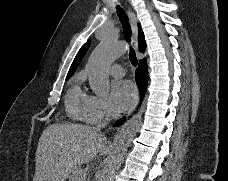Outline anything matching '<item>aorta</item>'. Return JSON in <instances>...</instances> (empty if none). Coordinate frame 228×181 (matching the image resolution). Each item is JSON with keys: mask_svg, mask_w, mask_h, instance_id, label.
I'll use <instances>...</instances> for the list:
<instances>
[{"mask_svg": "<svg viewBox=\"0 0 228 181\" xmlns=\"http://www.w3.org/2000/svg\"><path fill=\"white\" fill-rule=\"evenodd\" d=\"M125 51V45L122 42L113 39L111 36H106L91 53L86 65V74L90 87L95 94L100 96L108 95L110 88L108 68ZM140 127L141 116L137 115L118 131L100 181H113L115 171L121 164L127 148Z\"/></svg>", "mask_w": 228, "mask_h": 181, "instance_id": "obj_1", "label": "aorta"}]
</instances>
